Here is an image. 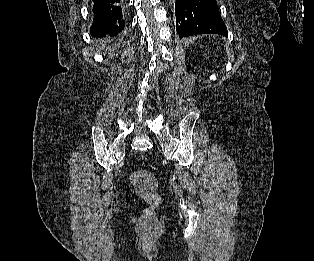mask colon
<instances>
[{"label": "colon", "mask_w": 314, "mask_h": 261, "mask_svg": "<svg viewBox=\"0 0 314 261\" xmlns=\"http://www.w3.org/2000/svg\"><path fill=\"white\" fill-rule=\"evenodd\" d=\"M130 180L137 194L148 203L142 217L143 220L149 225H154L153 211L160 204V197L155 192L156 179L153 173L147 170H136L130 174Z\"/></svg>", "instance_id": "1"}]
</instances>
